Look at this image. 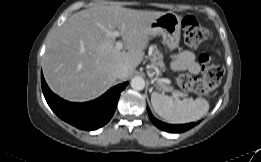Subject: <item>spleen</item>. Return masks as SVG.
<instances>
[{"label": "spleen", "instance_id": "1", "mask_svg": "<svg viewBox=\"0 0 261 162\" xmlns=\"http://www.w3.org/2000/svg\"><path fill=\"white\" fill-rule=\"evenodd\" d=\"M151 102L155 112L171 123H188L201 119L209 110V102L203 98L180 99L174 96L153 92Z\"/></svg>", "mask_w": 261, "mask_h": 162}]
</instances>
